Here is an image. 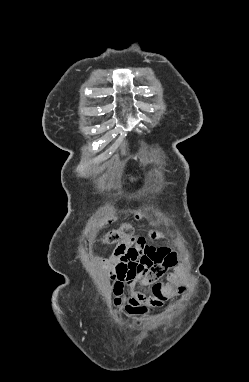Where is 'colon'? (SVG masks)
<instances>
[{
    "instance_id": "5ec220e1",
    "label": "colon",
    "mask_w": 249,
    "mask_h": 382,
    "mask_svg": "<svg viewBox=\"0 0 249 382\" xmlns=\"http://www.w3.org/2000/svg\"><path fill=\"white\" fill-rule=\"evenodd\" d=\"M136 219H141V214L136 215ZM128 239H134L133 228L130 224L125 223L117 229L110 230L106 234L104 241L106 243H116ZM142 249L144 250V255L140 261V265L133 266L130 271L133 276L138 275L142 271L145 272L144 275L138 277L140 282H146L147 280L153 282L155 279H161L162 276L166 275V271H172L173 268L178 266L175 253L170 250L162 252L161 249L157 247ZM152 295L153 298H160L161 302L166 298L162 284L157 283L153 286Z\"/></svg>"
}]
</instances>
